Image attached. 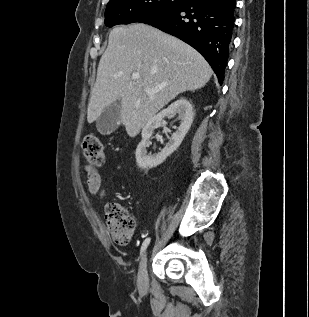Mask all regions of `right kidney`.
Here are the masks:
<instances>
[{
    "label": "right kidney",
    "mask_w": 309,
    "mask_h": 317,
    "mask_svg": "<svg viewBox=\"0 0 309 317\" xmlns=\"http://www.w3.org/2000/svg\"><path fill=\"white\" fill-rule=\"evenodd\" d=\"M178 114L180 125L178 130L172 134L166 146L156 154H148L146 150L147 140L152 136L155 129L160 127L165 117ZM194 119V111L191 103L186 99H179L169 107L152 117L142 130V141L138 144L135 157L141 169L155 168L165 161L182 143Z\"/></svg>",
    "instance_id": "1"
}]
</instances>
